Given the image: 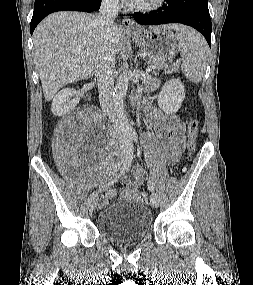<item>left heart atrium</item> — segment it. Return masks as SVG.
Listing matches in <instances>:
<instances>
[{"label": "left heart atrium", "mask_w": 253, "mask_h": 285, "mask_svg": "<svg viewBox=\"0 0 253 285\" xmlns=\"http://www.w3.org/2000/svg\"><path fill=\"white\" fill-rule=\"evenodd\" d=\"M127 1L134 2L135 0H127Z\"/></svg>", "instance_id": "39dd6f15"}]
</instances>
